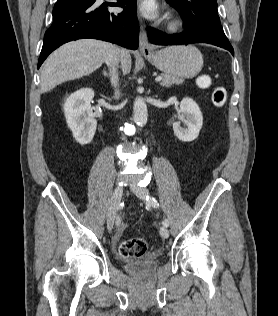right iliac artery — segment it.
<instances>
[{"label":"right iliac artery","mask_w":278,"mask_h":316,"mask_svg":"<svg viewBox=\"0 0 278 316\" xmlns=\"http://www.w3.org/2000/svg\"><path fill=\"white\" fill-rule=\"evenodd\" d=\"M116 224H117V225H120V219H119V218L117 219Z\"/></svg>","instance_id":"right-iliac-artery-1"}]
</instances>
